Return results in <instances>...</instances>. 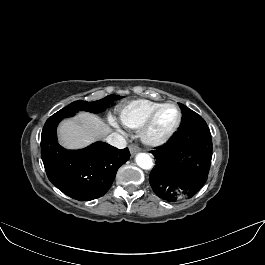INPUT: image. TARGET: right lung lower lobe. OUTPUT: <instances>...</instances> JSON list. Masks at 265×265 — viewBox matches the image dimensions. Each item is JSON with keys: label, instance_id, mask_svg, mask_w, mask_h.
<instances>
[{"label": "right lung lower lobe", "instance_id": "obj_1", "mask_svg": "<svg viewBox=\"0 0 265 265\" xmlns=\"http://www.w3.org/2000/svg\"><path fill=\"white\" fill-rule=\"evenodd\" d=\"M65 117L69 116L52 115L42 130L41 158L48 179L73 199L99 198L111 187L118 168L129 159V150L104 142L81 150L64 149L57 142L56 128Z\"/></svg>", "mask_w": 265, "mask_h": 265}]
</instances>
